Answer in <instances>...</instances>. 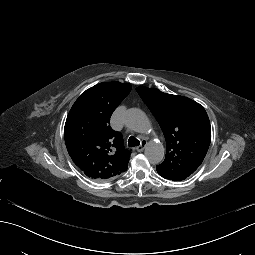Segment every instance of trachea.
<instances>
[{"instance_id": "1", "label": "trachea", "mask_w": 255, "mask_h": 255, "mask_svg": "<svg viewBox=\"0 0 255 255\" xmlns=\"http://www.w3.org/2000/svg\"><path fill=\"white\" fill-rule=\"evenodd\" d=\"M140 142L138 139H136L135 137L131 136L129 139H128V145L130 147H134V146H139Z\"/></svg>"}]
</instances>
